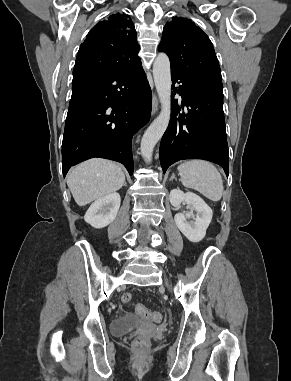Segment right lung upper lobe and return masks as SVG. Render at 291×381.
Returning <instances> with one entry per match:
<instances>
[{
	"label": "right lung upper lobe",
	"mask_w": 291,
	"mask_h": 381,
	"mask_svg": "<svg viewBox=\"0 0 291 381\" xmlns=\"http://www.w3.org/2000/svg\"><path fill=\"white\" fill-rule=\"evenodd\" d=\"M133 22L125 14L99 21L81 44L74 69L111 71L139 59Z\"/></svg>",
	"instance_id": "cb5924a9"
}]
</instances>
